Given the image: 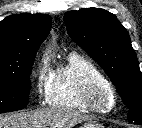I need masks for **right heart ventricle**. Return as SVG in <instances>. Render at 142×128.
I'll list each match as a JSON object with an SVG mask.
<instances>
[{"label":"right heart ventricle","instance_id":"right-heart-ventricle-1","mask_svg":"<svg viewBox=\"0 0 142 128\" xmlns=\"http://www.w3.org/2000/svg\"><path fill=\"white\" fill-rule=\"evenodd\" d=\"M92 79L107 78L88 58L71 54L67 64L54 71L48 103L52 106L88 111L83 100L87 83Z\"/></svg>","mask_w":142,"mask_h":128}]
</instances>
